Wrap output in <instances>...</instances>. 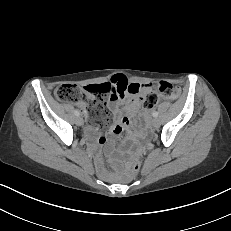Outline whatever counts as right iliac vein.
<instances>
[{
    "instance_id": "obj_1",
    "label": "right iliac vein",
    "mask_w": 231,
    "mask_h": 231,
    "mask_svg": "<svg viewBox=\"0 0 231 231\" xmlns=\"http://www.w3.org/2000/svg\"><path fill=\"white\" fill-rule=\"evenodd\" d=\"M76 124L82 126L84 124L83 118L80 116L76 117Z\"/></svg>"
}]
</instances>
